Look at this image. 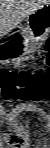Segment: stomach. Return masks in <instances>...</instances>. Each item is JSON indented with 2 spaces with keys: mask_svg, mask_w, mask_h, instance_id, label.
<instances>
[{
  "mask_svg": "<svg viewBox=\"0 0 50 148\" xmlns=\"http://www.w3.org/2000/svg\"><path fill=\"white\" fill-rule=\"evenodd\" d=\"M28 33L22 42H8L4 45L0 61L2 64H16L26 61L41 47L50 33V5L33 12L27 19Z\"/></svg>",
  "mask_w": 50,
  "mask_h": 148,
  "instance_id": "stomach-1",
  "label": "stomach"
}]
</instances>
